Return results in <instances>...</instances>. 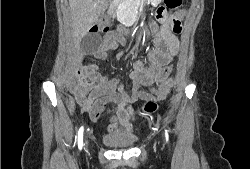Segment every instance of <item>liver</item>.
Instances as JSON below:
<instances>
[{
	"instance_id": "obj_1",
	"label": "liver",
	"mask_w": 250,
	"mask_h": 169,
	"mask_svg": "<svg viewBox=\"0 0 250 169\" xmlns=\"http://www.w3.org/2000/svg\"><path fill=\"white\" fill-rule=\"evenodd\" d=\"M108 2L109 0H69L76 46H79L81 38L99 20Z\"/></svg>"
}]
</instances>
